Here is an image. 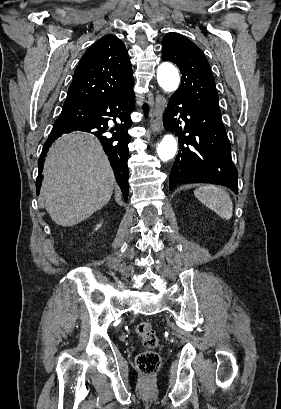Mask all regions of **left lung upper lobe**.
Segmentation results:
<instances>
[{"label": "left lung upper lobe", "instance_id": "1", "mask_svg": "<svg viewBox=\"0 0 281 409\" xmlns=\"http://www.w3.org/2000/svg\"><path fill=\"white\" fill-rule=\"evenodd\" d=\"M162 48V60L175 63L182 74V83L175 94L221 117L214 77L200 48L173 32L163 37Z\"/></svg>", "mask_w": 281, "mask_h": 409}]
</instances>
